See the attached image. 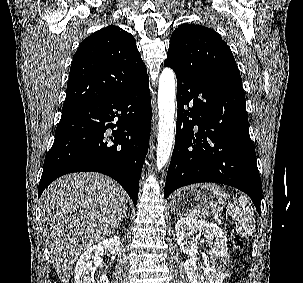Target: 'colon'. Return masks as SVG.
<instances>
[{
	"label": "colon",
	"mask_w": 303,
	"mask_h": 283,
	"mask_svg": "<svg viewBox=\"0 0 303 283\" xmlns=\"http://www.w3.org/2000/svg\"><path fill=\"white\" fill-rule=\"evenodd\" d=\"M242 246V242H238V247H241Z\"/></svg>",
	"instance_id": "colon-1"
}]
</instances>
